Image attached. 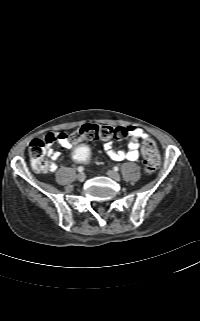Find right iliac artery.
<instances>
[{"label":"right iliac artery","mask_w":200,"mask_h":321,"mask_svg":"<svg viewBox=\"0 0 200 321\" xmlns=\"http://www.w3.org/2000/svg\"><path fill=\"white\" fill-rule=\"evenodd\" d=\"M77 170H78V172H82V171L84 170V168H83L82 166H79V167L77 168Z\"/></svg>","instance_id":"right-iliac-artery-1"}]
</instances>
